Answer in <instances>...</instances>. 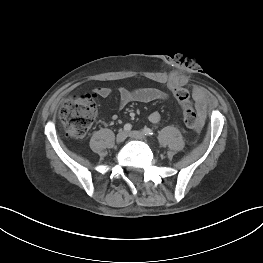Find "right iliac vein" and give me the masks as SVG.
<instances>
[{
	"label": "right iliac vein",
	"mask_w": 263,
	"mask_h": 263,
	"mask_svg": "<svg viewBox=\"0 0 263 263\" xmlns=\"http://www.w3.org/2000/svg\"><path fill=\"white\" fill-rule=\"evenodd\" d=\"M127 137V134L125 131L120 130L116 136V142L117 143H122Z\"/></svg>",
	"instance_id": "right-iliac-vein-1"
}]
</instances>
